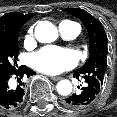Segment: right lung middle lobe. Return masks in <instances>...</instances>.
<instances>
[{
	"instance_id": "obj_1",
	"label": "right lung middle lobe",
	"mask_w": 117,
	"mask_h": 117,
	"mask_svg": "<svg viewBox=\"0 0 117 117\" xmlns=\"http://www.w3.org/2000/svg\"><path fill=\"white\" fill-rule=\"evenodd\" d=\"M17 34H0V71L10 72L15 68L17 55L19 52Z\"/></svg>"
}]
</instances>
